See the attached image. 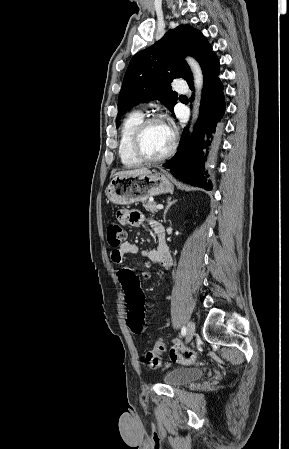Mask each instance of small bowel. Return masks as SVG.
Instances as JSON below:
<instances>
[{
	"mask_svg": "<svg viewBox=\"0 0 289 449\" xmlns=\"http://www.w3.org/2000/svg\"><path fill=\"white\" fill-rule=\"evenodd\" d=\"M119 221L123 224H128L132 226H139L143 224L146 219L144 215L137 210H120L117 214ZM147 223L153 228L157 235V245L153 249H142L138 245L131 242H124L120 247L115 248L111 251V260L118 265H122L124 258L128 254L141 255L148 258L151 262L157 263L169 269L172 265V258L169 252V248L166 244L164 229L162 225L154 220H148ZM142 275L148 278L150 275L147 272L142 273ZM174 343L170 345L169 357L173 363H180L183 367L186 365L187 368L193 369L196 366L195 361L202 360L204 357L198 350L192 349L191 347H181L183 344L182 338H177L173 340ZM182 353L184 355H180ZM180 355V356H179ZM194 359L195 361H193ZM160 365V364H159Z\"/></svg>",
	"mask_w": 289,
	"mask_h": 449,
	"instance_id": "obj_1",
	"label": "small bowel"
}]
</instances>
